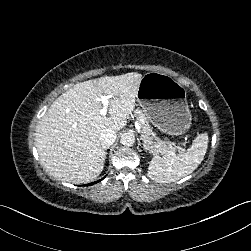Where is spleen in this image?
<instances>
[{
	"mask_svg": "<svg viewBox=\"0 0 251 251\" xmlns=\"http://www.w3.org/2000/svg\"><path fill=\"white\" fill-rule=\"evenodd\" d=\"M208 147V134L198 135L189 151L172 155L165 154L162 158L154 156L148 168V177L158 183L179 180L191 174L204 159Z\"/></svg>",
	"mask_w": 251,
	"mask_h": 251,
	"instance_id": "spleen-1",
	"label": "spleen"
}]
</instances>
